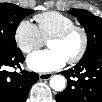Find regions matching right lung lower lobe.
<instances>
[{"mask_svg": "<svg viewBox=\"0 0 102 102\" xmlns=\"http://www.w3.org/2000/svg\"><path fill=\"white\" fill-rule=\"evenodd\" d=\"M24 56L20 49L15 51L0 50V69L18 67L23 63ZM39 79L34 72L0 71V100L2 102H25L31 86Z\"/></svg>", "mask_w": 102, "mask_h": 102, "instance_id": "98d812e1", "label": "right lung lower lobe"}]
</instances>
